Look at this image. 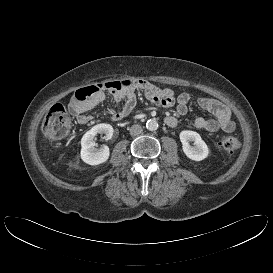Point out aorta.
<instances>
[{
	"instance_id": "aorta-1",
	"label": "aorta",
	"mask_w": 273,
	"mask_h": 273,
	"mask_svg": "<svg viewBox=\"0 0 273 273\" xmlns=\"http://www.w3.org/2000/svg\"><path fill=\"white\" fill-rule=\"evenodd\" d=\"M146 128L150 131H154L158 128V123L155 119H150L146 122Z\"/></svg>"
}]
</instances>
